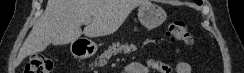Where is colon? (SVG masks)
<instances>
[{
	"label": "colon",
	"instance_id": "1",
	"mask_svg": "<svg viewBox=\"0 0 244 73\" xmlns=\"http://www.w3.org/2000/svg\"><path fill=\"white\" fill-rule=\"evenodd\" d=\"M169 36L174 42L190 45L192 36L183 20H173L169 24ZM53 61L43 55H34L25 65L23 73H50Z\"/></svg>",
	"mask_w": 244,
	"mask_h": 73
}]
</instances>
